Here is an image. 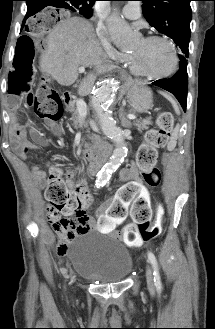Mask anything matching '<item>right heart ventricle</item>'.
Returning <instances> with one entry per match:
<instances>
[{
	"mask_svg": "<svg viewBox=\"0 0 215 329\" xmlns=\"http://www.w3.org/2000/svg\"><path fill=\"white\" fill-rule=\"evenodd\" d=\"M122 60L127 64V66L133 71L131 64H130V54L129 55H123ZM134 72V71H133Z\"/></svg>",
	"mask_w": 215,
	"mask_h": 329,
	"instance_id": "e07e8e85",
	"label": "right heart ventricle"
}]
</instances>
